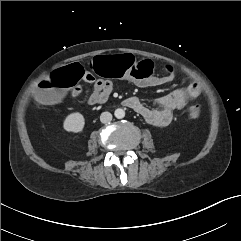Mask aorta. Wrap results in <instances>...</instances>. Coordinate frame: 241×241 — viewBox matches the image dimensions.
<instances>
[{"instance_id": "762f6f07", "label": "aorta", "mask_w": 241, "mask_h": 241, "mask_svg": "<svg viewBox=\"0 0 241 241\" xmlns=\"http://www.w3.org/2000/svg\"><path fill=\"white\" fill-rule=\"evenodd\" d=\"M114 115L117 119H122L125 117V111L121 108H117L114 112Z\"/></svg>"}]
</instances>
